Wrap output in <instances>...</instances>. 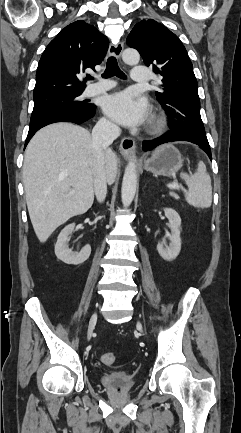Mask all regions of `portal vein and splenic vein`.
<instances>
[{"instance_id":"obj_1","label":"portal vein and splenic vein","mask_w":241,"mask_h":433,"mask_svg":"<svg viewBox=\"0 0 241 433\" xmlns=\"http://www.w3.org/2000/svg\"><path fill=\"white\" fill-rule=\"evenodd\" d=\"M167 187L169 189H172V190H178V189L182 188L181 186L178 185V183L168 184ZM74 193H75V191L73 189L70 190V194H74Z\"/></svg>"}]
</instances>
